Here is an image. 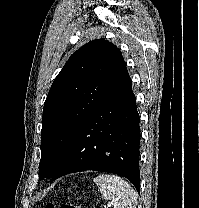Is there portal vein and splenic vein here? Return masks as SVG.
Returning <instances> with one entry per match:
<instances>
[{
    "instance_id": "obj_1",
    "label": "portal vein and splenic vein",
    "mask_w": 199,
    "mask_h": 208,
    "mask_svg": "<svg viewBox=\"0 0 199 208\" xmlns=\"http://www.w3.org/2000/svg\"><path fill=\"white\" fill-rule=\"evenodd\" d=\"M108 207H110V205H109V204L105 205V208H108Z\"/></svg>"
}]
</instances>
